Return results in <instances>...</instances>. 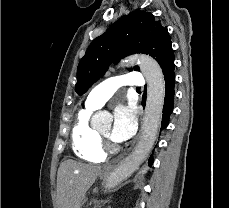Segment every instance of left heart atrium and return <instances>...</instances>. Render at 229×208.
Segmentation results:
<instances>
[{
  "label": "left heart atrium",
  "instance_id": "1",
  "mask_svg": "<svg viewBox=\"0 0 229 208\" xmlns=\"http://www.w3.org/2000/svg\"><path fill=\"white\" fill-rule=\"evenodd\" d=\"M137 128V118L132 105H120L114 113V124L111 138L116 142H124L131 138Z\"/></svg>",
  "mask_w": 229,
  "mask_h": 208
}]
</instances>
